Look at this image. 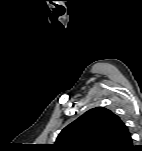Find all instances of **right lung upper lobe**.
<instances>
[{"instance_id": "obj_1", "label": "right lung upper lobe", "mask_w": 142, "mask_h": 151, "mask_svg": "<svg viewBox=\"0 0 142 151\" xmlns=\"http://www.w3.org/2000/svg\"><path fill=\"white\" fill-rule=\"evenodd\" d=\"M127 126L112 111L96 107L66 126L53 148L57 151H130Z\"/></svg>"}]
</instances>
